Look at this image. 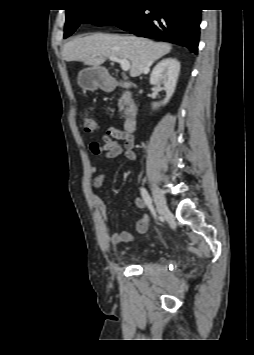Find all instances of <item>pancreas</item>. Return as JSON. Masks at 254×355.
Listing matches in <instances>:
<instances>
[{"label":"pancreas","mask_w":254,"mask_h":355,"mask_svg":"<svg viewBox=\"0 0 254 355\" xmlns=\"http://www.w3.org/2000/svg\"><path fill=\"white\" fill-rule=\"evenodd\" d=\"M119 111L127 115L133 108L134 103L128 93H124L118 101Z\"/></svg>","instance_id":"1"}]
</instances>
